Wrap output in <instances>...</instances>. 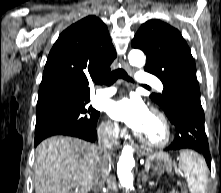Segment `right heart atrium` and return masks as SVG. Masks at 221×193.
<instances>
[{
	"instance_id": "d8ad5b80",
	"label": "right heart atrium",
	"mask_w": 221,
	"mask_h": 193,
	"mask_svg": "<svg viewBox=\"0 0 221 193\" xmlns=\"http://www.w3.org/2000/svg\"><path fill=\"white\" fill-rule=\"evenodd\" d=\"M99 135L103 139L116 141L121 136V130L116 123L105 119L99 126Z\"/></svg>"
}]
</instances>
